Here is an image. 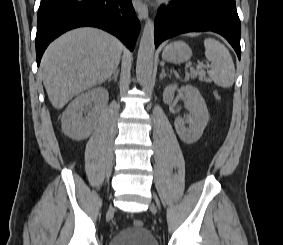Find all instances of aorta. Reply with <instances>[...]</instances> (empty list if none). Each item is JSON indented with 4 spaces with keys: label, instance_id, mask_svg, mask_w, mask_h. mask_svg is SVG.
<instances>
[{
    "label": "aorta",
    "instance_id": "762f6f07",
    "mask_svg": "<svg viewBox=\"0 0 283 245\" xmlns=\"http://www.w3.org/2000/svg\"><path fill=\"white\" fill-rule=\"evenodd\" d=\"M154 50V22L148 19L141 36L136 64V74L140 84L146 83L152 76Z\"/></svg>",
    "mask_w": 283,
    "mask_h": 245
}]
</instances>
